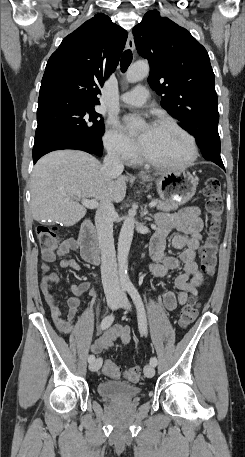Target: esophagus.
<instances>
[{"label":"esophagus","instance_id":"esophagus-1","mask_svg":"<svg viewBox=\"0 0 245 457\" xmlns=\"http://www.w3.org/2000/svg\"><path fill=\"white\" fill-rule=\"evenodd\" d=\"M126 47H127V49H129V50H134V48H135V45H134V38H133V35H132L131 32H130L129 35H128ZM139 175L143 176V175H146V174H145V173H139Z\"/></svg>","mask_w":245,"mask_h":457}]
</instances>
